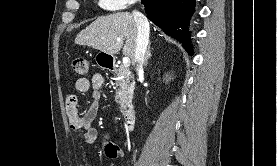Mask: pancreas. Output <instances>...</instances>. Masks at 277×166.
Wrapping results in <instances>:
<instances>
[{
	"label": "pancreas",
	"instance_id": "obj_1",
	"mask_svg": "<svg viewBox=\"0 0 277 166\" xmlns=\"http://www.w3.org/2000/svg\"><path fill=\"white\" fill-rule=\"evenodd\" d=\"M115 84L118 87L115 95V101L120 105V109H124L126 104L133 98L134 82L127 67L121 66L115 71Z\"/></svg>",
	"mask_w": 277,
	"mask_h": 166
}]
</instances>
